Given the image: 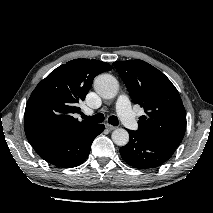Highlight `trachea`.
Returning a JSON list of instances; mask_svg holds the SVG:
<instances>
[{
	"label": "trachea",
	"mask_w": 213,
	"mask_h": 213,
	"mask_svg": "<svg viewBox=\"0 0 213 213\" xmlns=\"http://www.w3.org/2000/svg\"><path fill=\"white\" fill-rule=\"evenodd\" d=\"M82 118L90 122L101 123L104 120V115L102 113L96 114L94 116H86L82 114ZM108 122L114 126H117L119 124L118 118L114 115L108 118Z\"/></svg>",
	"instance_id": "obj_1"
}]
</instances>
